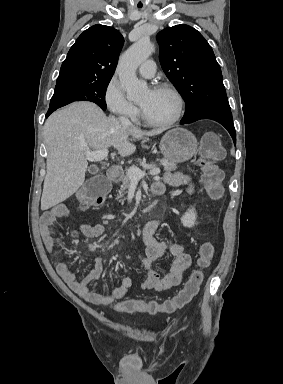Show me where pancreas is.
I'll use <instances>...</instances> for the list:
<instances>
[{
    "instance_id": "1",
    "label": "pancreas",
    "mask_w": 283,
    "mask_h": 384,
    "mask_svg": "<svg viewBox=\"0 0 283 384\" xmlns=\"http://www.w3.org/2000/svg\"><path fill=\"white\" fill-rule=\"evenodd\" d=\"M160 164L161 166H164V172H174V170H176L177 168V164H173V162H168V160H160ZM150 166H153V168H155L154 164H150ZM116 168L119 172V180H121L122 182L121 190H127V188H129L131 184L128 172H124L121 166H116ZM112 182H114V180H112ZM123 196V192H119V196H117V198H123Z\"/></svg>"
}]
</instances>
